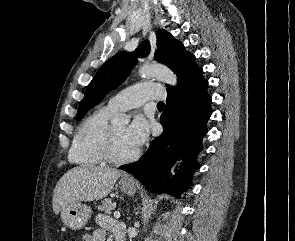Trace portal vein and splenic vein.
<instances>
[{"label": "portal vein and splenic vein", "mask_w": 295, "mask_h": 241, "mask_svg": "<svg viewBox=\"0 0 295 241\" xmlns=\"http://www.w3.org/2000/svg\"><path fill=\"white\" fill-rule=\"evenodd\" d=\"M120 216H121V215H120V212H118V211L114 212V217H115V218L118 219V218H120Z\"/></svg>", "instance_id": "portal-vein-and-splenic-vein-1"}]
</instances>
